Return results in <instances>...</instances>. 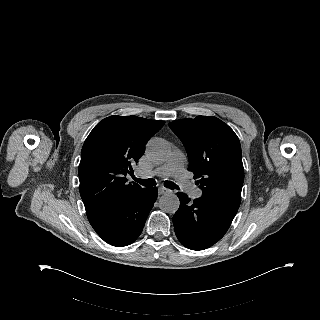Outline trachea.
Returning <instances> with one entry per match:
<instances>
[{
  "label": "trachea",
  "mask_w": 320,
  "mask_h": 320,
  "mask_svg": "<svg viewBox=\"0 0 320 320\" xmlns=\"http://www.w3.org/2000/svg\"><path fill=\"white\" fill-rule=\"evenodd\" d=\"M135 182L140 183L142 186L145 187H153L156 186V181L154 179H139L136 177H133ZM164 186L166 188H169L171 190L173 189H180L175 183L171 182V181H165L164 182Z\"/></svg>",
  "instance_id": "1"
}]
</instances>
